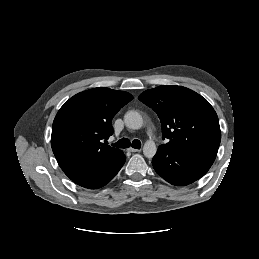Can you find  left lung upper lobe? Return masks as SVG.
<instances>
[{
    "label": "left lung upper lobe",
    "instance_id": "left-lung-upper-lobe-1",
    "mask_svg": "<svg viewBox=\"0 0 259 259\" xmlns=\"http://www.w3.org/2000/svg\"><path fill=\"white\" fill-rule=\"evenodd\" d=\"M138 99L152 108L162 124L163 145L180 154L217 155L221 132L217 114L198 93L174 85L143 92Z\"/></svg>",
    "mask_w": 259,
    "mask_h": 259
}]
</instances>
